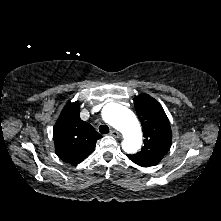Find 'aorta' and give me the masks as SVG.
Masks as SVG:
<instances>
[{
	"label": "aorta",
	"mask_w": 221,
	"mask_h": 221,
	"mask_svg": "<svg viewBox=\"0 0 221 221\" xmlns=\"http://www.w3.org/2000/svg\"><path fill=\"white\" fill-rule=\"evenodd\" d=\"M104 119L124 137L122 148L127 153L137 152L142 145V132L135 114L128 108L110 103L103 110Z\"/></svg>",
	"instance_id": "1"
}]
</instances>
